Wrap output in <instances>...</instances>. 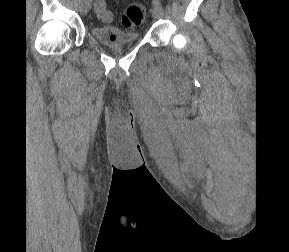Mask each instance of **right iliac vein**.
Listing matches in <instances>:
<instances>
[{"instance_id": "1", "label": "right iliac vein", "mask_w": 289, "mask_h": 252, "mask_svg": "<svg viewBox=\"0 0 289 252\" xmlns=\"http://www.w3.org/2000/svg\"><path fill=\"white\" fill-rule=\"evenodd\" d=\"M78 8L83 15H86L90 9V2L88 0H80Z\"/></svg>"}]
</instances>
